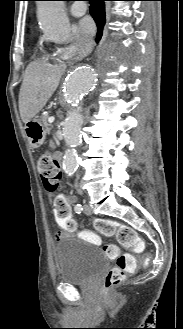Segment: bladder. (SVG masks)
<instances>
[{"label":"bladder","mask_w":183,"mask_h":329,"mask_svg":"<svg viewBox=\"0 0 183 329\" xmlns=\"http://www.w3.org/2000/svg\"><path fill=\"white\" fill-rule=\"evenodd\" d=\"M58 278L68 284H85L105 272L108 258L87 240L64 236L54 246Z\"/></svg>","instance_id":"bladder-1"}]
</instances>
